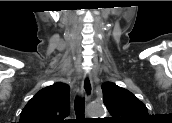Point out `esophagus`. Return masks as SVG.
I'll list each match as a JSON object with an SVG mask.
<instances>
[{
  "instance_id": "34e87169",
  "label": "esophagus",
  "mask_w": 172,
  "mask_h": 123,
  "mask_svg": "<svg viewBox=\"0 0 172 123\" xmlns=\"http://www.w3.org/2000/svg\"><path fill=\"white\" fill-rule=\"evenodd\" d=\"M93 93V82L89 73H86L83 77L81 84V95L87 100L91 99Z\"/></svg>"
}]
</instances>
